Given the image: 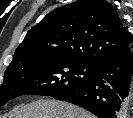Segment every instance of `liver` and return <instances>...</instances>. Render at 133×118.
<instances>
[{"mask_svg":"<svg viewBox=\"0 0 133 118\" xmlns=\"http://www.w3.org/2000/svg\"><path fill=\"white\" fill-rule=\"evenodd\" d=\"M10 118H95V116L67 102L37 100L15 107Z\"/></svg>","mask_w":133,"mask_h":118,"instance_id":"obj_1","label":"liver"}]
</instances>
